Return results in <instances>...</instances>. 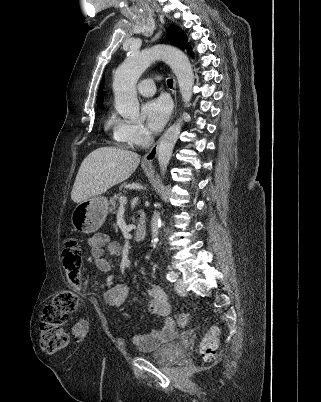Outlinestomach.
I'll list each match as a JSON object with an SVG mask.
<instances>
[{
	"instance_id": "obj_1",
	"label": "stomach",
	"mask_w": 321,
	"mask_h": 402,
	"mask_svg": "<svg viewBox=\"0 0 321 402\" xmlns=\"http://www.w3.org/2000/svg\"><path fill=\"white\" fill-rule=\"evenodd\" d=\"M108 200L103 196H93L77 204L71 216L74 230L90 234L97 231L108 214Z\"/></svg>"
}]
</instances>
